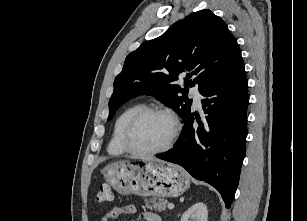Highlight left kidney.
<instances>
[{
	"label": "left kidney",
	"instance_id": "obj_1",
	"mask_svg": "<svg viewBox=\"0 0 307 221\" xmlns=\"http://www.w3.org/2000/svg\"><path fill=\"white\" fill-rule=\"evenodd\" d=\"M180 221H208L207 206L202 202L194 204L184 212Z\"/></svg>",
	"mask_w": 307,
	"mask_h": 221
}]
</instances>
